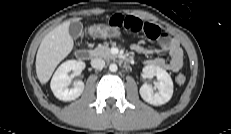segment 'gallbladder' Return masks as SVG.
Masks as SVG:
<instances>
[{
    "label": "gallbladder",
    "mask_w": 231,
    "mask_h": 134,
    "mask_svg": "<svg viewBox=\"0 0 231 134\" xmlns=\"http://www.w3.org/2000/svg\"><path fill=\"white\" fill-rule=\"evenodd\" d=\"M82 29H83V26L80 22L78 21L71 22L69 26V34L71 35V37L77 38L82 32Z\"/></svg>",
    "instance_id": "obj_1"
}]
</instances>
